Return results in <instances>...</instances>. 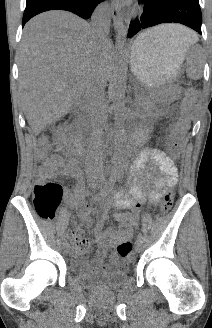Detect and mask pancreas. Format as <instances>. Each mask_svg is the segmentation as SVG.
<instances>
[{
	"label": "pancreas",
	"instance_id": "obj_1",
	"mask_svg": "<svg viewBox=\"0 0 212 328\" xmlns=\"http://www.w3.org/2000/svg\"><path fill=\"white\" fill-rule=\"evenodd\" d=\"M153 103L154 100L151 96H145V95L137 96L135 108L141 113L142 111L151 107Z\"/></svg>",
	"mask_w": 212,
	"mask_h": 328
}]
</instances>
